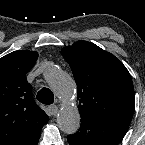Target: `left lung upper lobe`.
Wrapping results in <instances>:
<instances>
[{"label": "left lung upper lobe", "mask_w": 145, "mask_h": 145, "mask_svg": "<svg viewBox=\"0 0 145 145\" xmlns=\"http://www.w3.org/2000/svg\"><path fill=\"white\" fill-rule=\"evenodd\" d=\"M61 54L77 84L81 119L131 121L134 88L120 60L87 41L64 47Z\"/></svg>", "instance_id": "obj_1"}]
</instances>
